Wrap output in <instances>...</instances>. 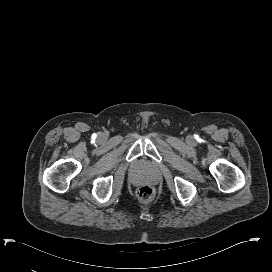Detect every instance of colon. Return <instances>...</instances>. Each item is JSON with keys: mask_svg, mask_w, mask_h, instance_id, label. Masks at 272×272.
Masks as SVG:
<instances>
[{"mask_svg": "<svg viewBox=\"0 0 272 272\" xmlns=\"http://www.w3.org/2000/svg\"><path fill=\"white\" fill-rule=\"evenodd\" d=\"M138 198L143 202H149L154 197V189L149 185H143L137 190Z\"/></svg>", "mask_w": 272, "mask_h": 272, "instance_id": "5ec220e1", "label": "colon"}]
</instances>
